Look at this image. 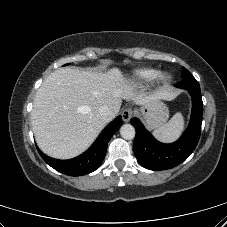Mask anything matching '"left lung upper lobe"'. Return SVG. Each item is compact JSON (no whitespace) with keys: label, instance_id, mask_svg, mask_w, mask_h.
<instances>
[{"label":"left lung upper lobe","instance_id":"left-lung-upper-lobe-1","mask_svg":"<svg viewBox=\"0 0 227 227\" xmlns=\"http://www.w3.org/2000/svg\"><path fill=\"white\" fill-rule=\"evenodd\" d=\"M192 76L191 73L183 67V75H182V78H186V77H190Z\"/></svg>","mask_w":227,"mask_h":227}]
</instances>
